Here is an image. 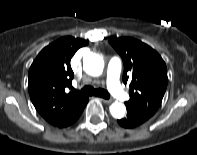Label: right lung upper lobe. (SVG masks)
Returning <instances> with one entry per match:
<instances>
[{"mask_svg": "<svg viewBox=\"0 0 197 155\" xmlns=\"http://www.w3.org/2000/svg\"><path fill=\"white\" fill-rule=\"evenodd\" d=\"M88 42L62 37L45 47L29 69L28 91L33 105L50 124L65 127L88 99L73 92L67 93L74 73L70 60Z\"/></svg>", "mask_w": 197, "mask_h": 155, "instance_id": "1", "label": "right lung upper lobe"}]
</instances>
